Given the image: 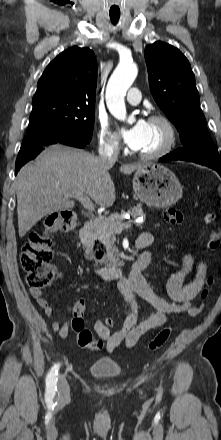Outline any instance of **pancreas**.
I'll return each instance as SVG.
<instances>
[{"mask_svg":"<svg viewBox=\"0 0 221 440\" xmlns=\"http://www.w3.org/2000/svg\"><path fill=\"white\" fill-rule=\"evenodd\" d=\"M127 213L134 218L145 216L142 206L139 204L130 208L127 212L122 210L121 213H114L109 217L97 218L94 221L93 239L99 240L106 246L108 255L112 259L115 258L114 253L118 250L114 245L116 241L114 224L121 223ZM138 225H141V223H138Z\"/></svg>","mask_w":221,"mask_h":440,"instance_id":"1","label":"pancreas"}]
</instances>
